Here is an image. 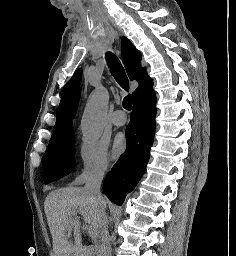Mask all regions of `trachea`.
I'll return each instance as SVG.
<instances>
[{
    "label": "trachea",
    "mask_w": 236,
    "mask_h": 256,
    "mask_svg": "<svg viewBox=\"0 0 236 256\" xmlns=\"http://www.w3.org/2000/svg\"><path fill=\"white\" fill-rule=\"evenodd\" d=\"M106 60L108 62L110 71H111L112 75L114 76L115 80L117 81V83L124 90L128 91L129 90L128 78H127L125 70H124L123 66L121 65V62L119 61V59L111 52H108L106 54ZM123 108H125V110H131V108H132L131 95H127L123 99Z\"/></svg>",
    "instance_id": "1"
}]
</instances>
